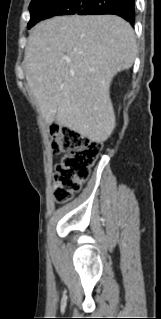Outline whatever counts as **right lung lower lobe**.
I'll return each mask as SVG.
<instances>
[{
	"label": "right lung lower lobe",
	"mask_w": 161,
	"mask_h": 319,
	"mask_svg": "<svg viewBox=\"0 0 161 319\" xmlns=\"http://www.w3.org/2000/svg\"><path fill=\"white\" fill-rule=\"evenodd\" d=\"M134 2L135 0H90L76 15H118L133 25Z\"/></svg>",
	"instance_id": "obj_1"
}]
</instances>
